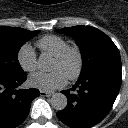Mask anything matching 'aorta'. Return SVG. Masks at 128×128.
Listing matches in <instances>:
<instances>
[{"label":"aorta","mask_w":128,"mask_h":128,"mask_svg":"<svg viewBox=\"0 0 128 128\" xmlns=\"http://www.w3.org/2000/svg\"><path fill=\"white\" fill-rule=\"evenodd\" d=\"M39 69L43 71H48L50 70L51 64H52V59L45 55L41 54L39 56V59L37 61ZM68 100L67 97L62 94V93H55L52 95L51 98V105L55 110H63L67 106Z\"/></svg>","instance_id":"762f6f07"}]
</instances>
